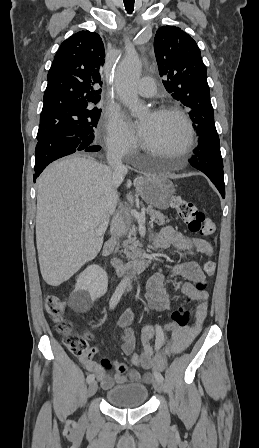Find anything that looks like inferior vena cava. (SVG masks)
Segmentation results:
<instances>
[{"label":"inferior vena cava","instance_id":"602c4592","mask_svg":"<svg viewBox=\"0 0 259 448\" xmlns=\"http://www.w3.org/2000/svg\"><path fill=\"white\" fill-rule=\"evenodd\" d=\"M122 150L123 146H121V142L115 140L112 148H109L107 154V160L111 170H113L115 174H120V176H123V174L127 172V168H125L124 164H122ZM124 230L125 224L122 212H117V214L113 216L110 232L112 236L116 238V236H121V234H124Z\"/></svg>","mask_w":259,"mask_h":448}]
</instances>
